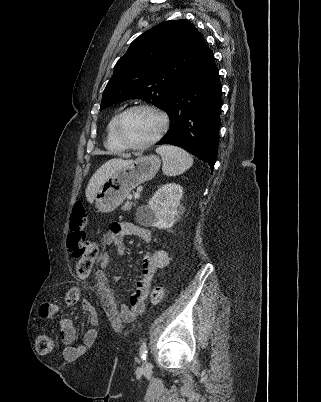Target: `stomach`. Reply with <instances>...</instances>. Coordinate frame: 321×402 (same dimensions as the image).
<instances>
[{
  "instance_id": "obj_1",
  "label": "stomach",
  "mask_w": 321,
  "mask_h": 402,
  "mask_svg": "<svg viewBox=\"0 0 321 402\" xmlns=\"http://www.w3.org/2000/svg\"><path fill=\"white\" fill-rule=\"evenodd\" d=\"M161 160L156 155L141 156L113 173L95 192V206L108 213L123 203L131 190L152 179L158 172Z\"/></svg>"
}]
</instances>
